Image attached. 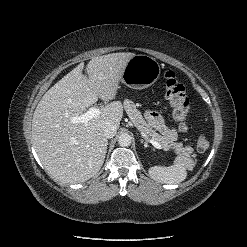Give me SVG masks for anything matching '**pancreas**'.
Wrapping results in <instances>:
<instances>
[{
	"label": "pancreas",
	"instance_id": "pancreas-1",
	"mask_svg": "<svg viewBox=\"0 0 247 247\" xmlns=\"http://www.w3.org/2000/svg\"><path fill=\"white\" fill-rule=\"evenodd\" d=\"M124 108L138 129L145 141L154 139L166 150H173L177 155L183 157H190L194 154L193 148L190 146H183L182 143L173 142L168 136L158 134L143 118L142 114L137 110L136 105L131 100L124 101Z\"/></svg>",
	"mask_w": 247,
	"mask_h": 247
}]
</instances>
